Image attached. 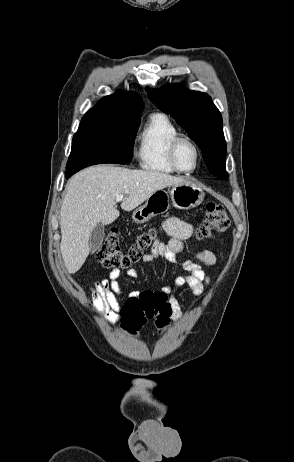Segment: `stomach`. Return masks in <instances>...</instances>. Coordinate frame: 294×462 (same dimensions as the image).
Returning <instances> with one entry per match:
<instances>
[{"instance_id":"1","label":"stomach","mask_w":294,"mask_h":462,"mask_svg":"<svg viewBox=\"0 0 294 462\" xmlns=\"http://www.w3.org/2000/svg\"><path fill=\"white\" fill-rule=\"evenodd\" d=\"M203 198L202 189L195 183L185 180L173 185L170 192L159 190L153 193L144 205L133 212L132 219L137 224L148 222L154 216L168 211L170 199L172 205L178 209H191L201 204Z\"/></svg>"}]
</instances>
